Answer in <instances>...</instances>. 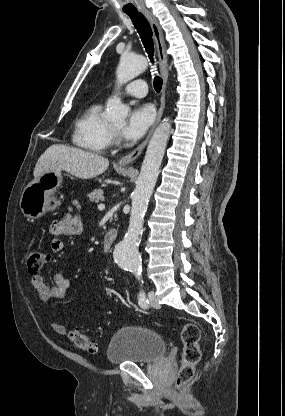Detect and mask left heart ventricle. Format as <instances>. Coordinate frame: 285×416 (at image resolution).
Returning a JSON list of instances; mask_svg holds the SVG:
<instances>
[{
	"instance_id": "1",
	"label": "left heart ventricle",
	"mask_w": 285,
	"mask_h": 416,
	"mask_svg": "<svg viewBox=\"0 0 285 416\" xmlns=\"http://www.w3.org/2000/svg\"><path fill=\"white\" fill-rule=\"evenodd\" d=\"M123 122H119V123H110L111 127L115 130H118L119 128H121Z\"/></svg>"
}]
</instances>
